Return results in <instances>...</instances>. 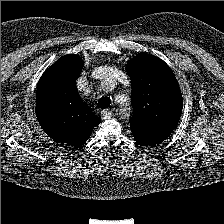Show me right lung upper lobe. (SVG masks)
I'll list each match as a JSON object with an SVG mask.
<instances>
[{
	"label": "right lung upper lobe",
	"mask_w": 224,
	"mask_h": 224,
	"mask_svg": "<svg viewBox=\"0 0 224 224\" xmlns=\"http://www.w3.org/2000/svg\"><path fill=\"white\" fill-rule=\"evenodd\" d=\"M83 60L65 55L49 67L37 85L36 116L44 132L61 145H84L101 119L80 98L76 79Z\"/></svg>",
	"instance_id": "cb5924a9"
}]
</instances>
